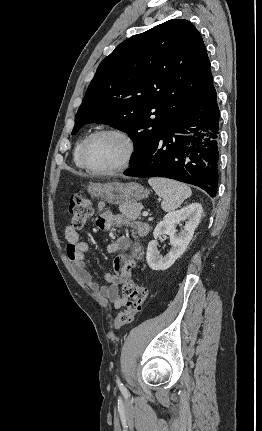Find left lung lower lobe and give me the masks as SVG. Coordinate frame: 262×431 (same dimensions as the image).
Masks as SVG:
<instances>
[{"instance_id": "obj_1", "label": "left lung lower lobe", "mask_w": 262, "mask_h": 431, "mask_svg": "<svg viewBox=\"0 0 262 431\" xmlns=\"http://www.w3.org/2000/svg\"><path fill=\"white\" fill-rule=\"evenodd\" d=\"M220 112L214 86L184 109L124 175L165 177L217 192Z\"/></svg>"}]
</instances>
